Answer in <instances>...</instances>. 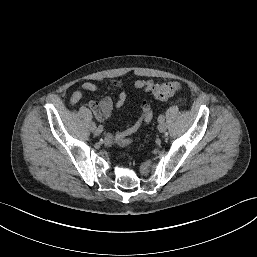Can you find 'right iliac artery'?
Listing matches in <instances>:
<instances>
[{"label":"right iliac artery","mask_w":257,"mask_h":257,"mask_svg":"<svg viewBox=\"0 0 257 257\" xmlns=\"http://www.w3.org/2000/svg\"><path fill=\"white\" fill-rule=\"evenodd\" d=\"M91 126H92V127H91V128H92V130H93L94 128H96V124H95L94 122L92 123V125H91ZM99 127L102 129V126H101V125H100Z\"/></svg>","instance_id":"right-iliac-artery-1"}]
</instances>
